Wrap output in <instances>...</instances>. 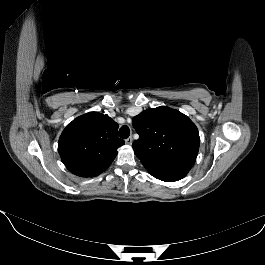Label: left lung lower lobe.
Wrapping results in <instances>:
<instances>
[{
	"instance_id": "obj_1",
	"label": "left lung lower lobe",
	"mask_w": 265,
	"mask_h": 265,
	"mask_svg": "<svg viewBox=\"0 0 265 265\" xmlns=\"http://www.w3.org/2000/svg\"><path fill=\"white\" fill-rule=\"evenodd\" d=\"M194 163L195 160H185L174 162L164 166L154 165L148 168V171L152 176L159 180L166 182H174L185 177L194 165Z\"/></svg>"
}]
</instances>
